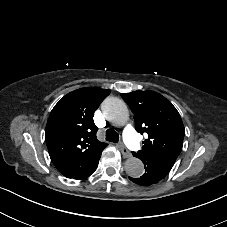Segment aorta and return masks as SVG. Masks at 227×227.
<instances>
[{
	"label": "aorta",
	"instance_id": "762f6f07",
	"mask_svg": "<svg viewBox=\"0 0 227 227\" xmlns=\"http://www.w3.org/2000/svg\"><path fill=\"white\" fill-rule=\"evenodd\" d=\"M103 115L112 124L122 126L128 122L129 110L125 102L117 97H108L101 105ZM125 171L130 177L138 178L144 174V164L136 157L125 162Z\"/></svg>",
	"mask_w": 227,
	"mask_h": 227
}]
</instances>
